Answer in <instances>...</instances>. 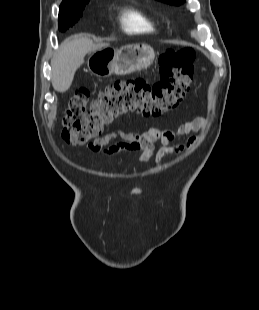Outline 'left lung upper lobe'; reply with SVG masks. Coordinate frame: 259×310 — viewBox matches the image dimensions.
I'll return each mask as SVG.
<instances>
[{
	"instance_id": "1",
	"label": "left lung upper lobe",
	"mask_w": 259,
	"mask_h": 310,
	"mask_svg": "<svg viewBox=\"0 0 259 310\" xmlns=\"http://www.w3.org/2000/svg\"><path fill=\"white\" fill-rule=\"evenodd\" d=\"M162 2H166L169 4H174V5H180L181 3H183L184 0H159Z\"/></svg>"
}]
</instances>
